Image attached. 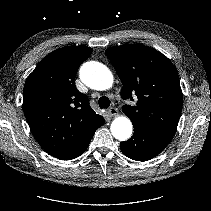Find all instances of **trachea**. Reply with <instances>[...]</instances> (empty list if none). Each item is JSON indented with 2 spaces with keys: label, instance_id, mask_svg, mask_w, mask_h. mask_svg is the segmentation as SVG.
<instances>
[{
  "label": "trachea",
  "instance_id": "obj_1",
  "mask_svg": "<svg viewBox=\"0 0 211 211\" xmlns=\"http://www.w3.org/2000/svg\"><path fill=\"white\" fill-rule=\"evenodd\" d=\"M98 103L100 108L107 109L110 106L111 101L108 97L102 96L99 98Z\"/></svg>",
  "mask_w": 211,
  "mask_h": 211
}]
</instances>
